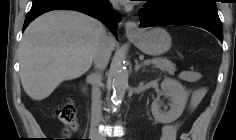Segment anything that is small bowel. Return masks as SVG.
I'll list each match as a JSON object with an SVG mask.
<instances>
[{
  "label": "small bowel",
  "mask_w": 236,
  "mask_h": 140,
  "mask_svg": "<svg viewBox=\"0 0 236 140\" xmlns=\"http://www.w3.org/2000/svg\"><path fill=\"white\" fill-rule=\"evenodd\" d=\"M180 78L186 82L194 83L201 78V74L196 71L186 70L180 73ZM204 94H205V88L200 87L196 89L191 95L189 108L190 109L194 108L201 101ZM178 128H179L178 123L164 126L162 129V135L160 137V140H176Z\"/></svg>",
  "instance_id": "small-bowel-1"
}]
</instances>
